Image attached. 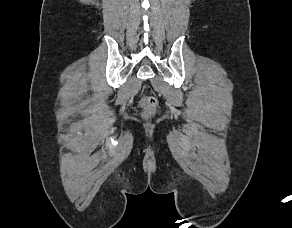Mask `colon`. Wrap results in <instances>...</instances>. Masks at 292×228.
I'll return each instance as SVG.
<instances>
[{
  "label": "colon",
  "instance_id": "1",
  "mask_svg": "<svg viewBox=\"0 0 292 228\" xmlns=\"http://www.w3.org/2000/svg\"><path fill=\"white\" fill-rule=\"evenodd\" d=\"M157 105V100L153 96H145L142 99V106L146 114H151Z\"/></svg>",
  "mask_w": 292,
  "mask_h": 228
}]
</instances>
